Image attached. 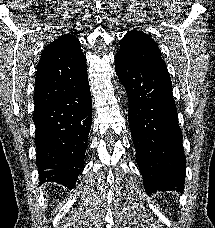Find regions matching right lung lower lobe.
I'll return each instance as SVG.
<instances>
[{
	"label": "right lung lower lobe",
	"mask_w": 215,
	"mask_h": 228,
	"mask_svg": "<svg viewBox=\"0 0 215 228\" xmlns=\"http://www.w3.org/2000/svg\"><path fill=\"white\" fill-rule=\"evenodd\" d=\"M67 87L63 95L34 110L33 121L40 182L72 189L84 164L92 122L88 75Z\"/></svg>",
	"instance_id": "98d812e1"
}]
</instances>
